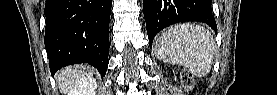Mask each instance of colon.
<instances>
[{
  "label": "colon",
  "instance_id": "colon-1",
  "mask_svg": "<svg viewBox=\"0 0 277 95\" xmlns=\"http://www.w3.org/2000/svg\"><path fill=\"white\" fill-rule=\"evenodd\" d=\"M181 83L187 91H191L195 86V78L190 71H183L181 75Z\"/></svg>",
  "mask_w": 277,
  "mask_h": 95
}]
</instances>
